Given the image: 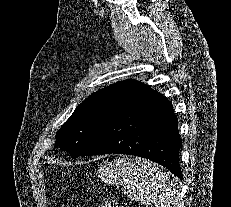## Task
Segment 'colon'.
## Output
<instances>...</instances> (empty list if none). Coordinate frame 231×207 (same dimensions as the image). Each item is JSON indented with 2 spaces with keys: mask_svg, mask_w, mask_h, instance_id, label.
Wrapping results in <instances>:
<instances>
[{
  "mask_svg": "<svg viewBox=\"0 0 231 207\" xmlns=\"http://www.w3.org/2000/svg\"><path fill=\"white\" fill-rule=\"evenodd\" d=\"M98 207H119L116 201L110 197H106L102 200Z\"/></svg>",
  "mask_w": 231,
  "mask_h": 207,
  "instance_id": "obj_1",
  "label": "colon"
}]
</instances>
